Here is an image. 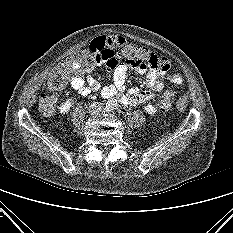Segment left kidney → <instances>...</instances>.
<instances>
[{
    "instance_id": "left-kidney-1",
    "label": "left kidney",
    "mask_w": 233,
    "mask_h": 233,
    "mask_svg": "<svg viewBox=\"0 0 233 233\" xmlns=\"http://www.w3.org/2000/svg\"><path fill=\"white\" fill-rule=\"evenodd\" d=\"M144 109H145L146 113H148V114H150V115H154V114H156V112H157L156 107L153 106V105H150V104L146 105V106L144 107Z\"/></svg>"
}]
</instances>
